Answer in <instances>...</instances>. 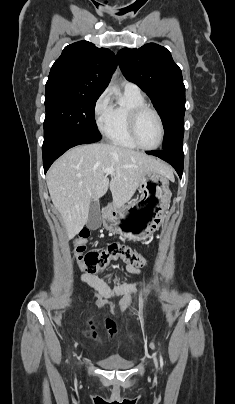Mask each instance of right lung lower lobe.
Listing matches in <instances>:
<instances>
[{
	"instance_id": "obj_1",
	"label": "right lung lower lobe",
	"mask_w": 235,
	"mask_h": 404,
	"mask_svg": "<svg viewBox=\"0 0 235 404\" xmlns=\"http://www.w3.org/2000/svg\"><path fill=\"white\" fill-rule=\"evenodd\" d=\"M93 142L96 141L74 132H60L44 137L42 146L44 172L46 173L51 164L68 149Z\"/></svg>"
}]
</instances>
